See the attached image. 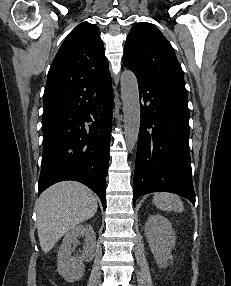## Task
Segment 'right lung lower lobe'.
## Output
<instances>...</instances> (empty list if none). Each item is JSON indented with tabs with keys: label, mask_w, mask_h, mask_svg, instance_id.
<instances>
[{
	"label": "right lung lower lobe",
	"mask_w": 231,
	"mask_h": 286,
	"mask_svg": "<svg viewBox=\"0 0 231 286\" xmlns=\"http://www.w3.org/2000/svg\"><path fill=\"white\" fill-rule=\"evenodd\" d=\"M112 110L108 75L81 84L43 116L39 194L59 181H79L99 196L105 208Z\"/></svg>",
	"instance_id": "98d812e1"
}]
</instances>
